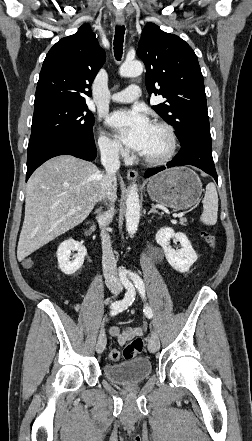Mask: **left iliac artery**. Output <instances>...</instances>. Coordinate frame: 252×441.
<instances>
[{
	"instance_id": "left-iliac-artery-1",
	"label": "left iliac artery",
	"mask_w": 252,
	"mask_h": 441,
	"mask_svg": "<svg viewBox=\"0 0 252 441\" xmlns=\"http://www.w3.org/2000/svg\"><path fill=\"white\" fill-rule=\"evenodd\" d=\"M130 278L133 280L135 287L139 291L141 297L143 299H145V285H144L143 280L140 278V276H138L135 273H131ZM143 311L148 318H152L153 312H152V309L148 306V304L145 305Z\"/></svg>"
}]
</instances>
